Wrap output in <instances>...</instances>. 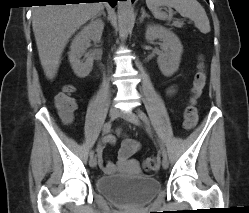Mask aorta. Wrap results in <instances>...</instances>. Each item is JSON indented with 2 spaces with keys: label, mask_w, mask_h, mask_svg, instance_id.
<instances>
[{
  "label": "aorta",
  "mask_w": 249,
  "mask_h": 213,
  "mask_svg": "<svg viewBox=\"0 0 249 213\" xmlns=\"http://www.w3.org/2000/svg\"><path fill=\"white\" fill-rule=\"evenodd\" d=\"M131 12V0L117 2L118 29L122 39L128 35Z\"/></svg>",
  "instance_id": "762f6f07"
}]
</instances>
